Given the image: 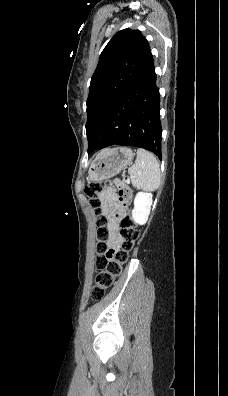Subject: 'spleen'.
<instances>
[{"instance_id": "3e777b00", "label": "spleen", "mask_w": 228, "mask_h": 396, "mask_svg": "<svg viewBox=\"0 0 228 396\" xmlns=\"http://www.w3.org/2000/svg\"><path fill=\"white\" fill-rule=\"evenodd\" d=\"M131 182L135 188L145 191L156 190L161 182L160 165L156 157L144 149L137 150V158L129 169Z\"/></svg>"}]
</instances>
